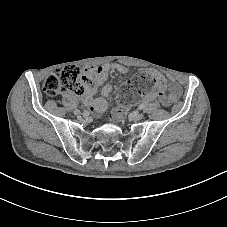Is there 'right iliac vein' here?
Here are the masks:
<instances>
[{"mask_svg":"<svg viewBox=\"0 0 227 227\" xmlns=\"http://www.w3.org/2000/svg\"><path fill=\"white\" fill-rule=\"evenodd\" d=\"M74 113H75L76 115H79L81 112H80L79 109L75 108V109H74Z\"/></svg>","mask_w":227,"mask_h":227,"instance_id":"1","label":"right iliac vein"}]
</instances>
